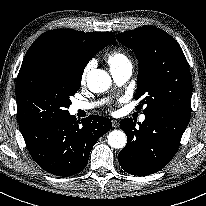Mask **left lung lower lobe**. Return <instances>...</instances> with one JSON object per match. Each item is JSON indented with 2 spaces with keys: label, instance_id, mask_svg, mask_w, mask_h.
Instances as JSON below:
<instances>
[{
  "label": "left lung lower lobe",
  "instance_id": "1",
  "mask_svg": "<svg viewBox=\"0 0 206 206\" xmlns=\"http://www.w3.org/2000/svg\"><path fill=\"white\" fill-rule=\"evenodd\" d=\"M190 117L166 112H150L145 120L136 123L125 118L120 127L127 135V144L118 161L128 173L145 176L164 168L176 154Z\"/></svg>",
  "mask_w": 206,
  "mask_h": 206
}]
</instances>
